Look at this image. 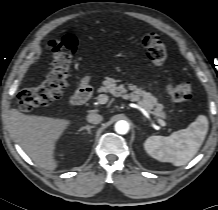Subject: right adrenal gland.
<instances>
[{"label":"right adrenal gland","mask_w":218,"mask_h":210,"mask_svg":"<svg viewBox=\"0 0 218 210\" xmlns=\"http://www.w3.org/2000/svg\"><path fill=\"white\" fill-rule=\"evenodd\" d=\"M92 128H95V126L87 125L85 127H82L79 131L86 130L88 132V134H91V129Z\"/></svg>","instance_id":"right-adrenal-gland-1"}]
</instances>
